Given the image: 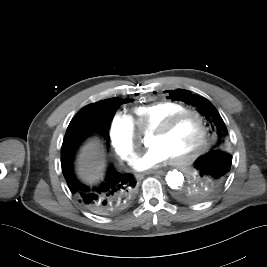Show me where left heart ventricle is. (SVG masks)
<instances>
[{"instance_id": "obj_1", "label": "left heart ventricle", "mask_w": 267, "mask_h": 267, "mask_svg": "<svg viewBox=\"0 0 267 267\" xmlns=\"http://www.w3.org/2000/svg\"><path fill=\"white\" fill-rule=\"evenodd\" d=\"M201 125L192 116L184 118L172 130L164 135L153 134L149 144L160 146L171 159L191 154L201 139Z\"/></svg>"}]
</instances>
